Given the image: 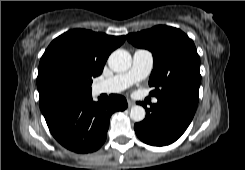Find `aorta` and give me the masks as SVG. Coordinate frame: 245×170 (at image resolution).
Returning <instances> with one entry per match:
<instances>
[{"label": "aorta", "mask_w": 245, "mask_h": 170, "mask_svg": "<svg viewBox=\"0 0 245 170\" xmlns=\"http://www.w3.org/2000/svg\"><path fill=\"white\" fill-rule=\"evenodd\" d=\"M132 58L128 51L117 49L108 58V65L114 72H125L131 67ZM146 115L142 106L134 105L130 110V118L135 122H141Z\"/></svg>", "instance_id": "762f6f07"}]
</instances>
